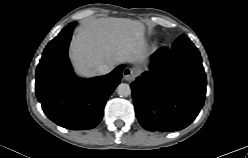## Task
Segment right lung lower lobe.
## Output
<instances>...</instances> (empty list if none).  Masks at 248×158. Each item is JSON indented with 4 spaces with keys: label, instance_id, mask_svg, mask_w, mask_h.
Returning a JSON list of instances; mask_svg holds the SVG:
<instances>
[{
    "label": "right lung lower lobe",
    "instance_id": "98d812e1",
    "mask_svg": "<svg viewBox=\"0 0 248 158\" xmlns=\"http://www.w3.org/2000/svg\"><path fill=\"white\" fill-rule=\"evenodd\" d=\"M76 22L68 24L45 48L36 70V95L44 113L56 124L73 130L94 128L104 106L120 83L124 65L111 73L80 79L68 60V46Z\"/></svg>",
    "mask_w": 248,
    "mask_h": 158
}]
</instances>
